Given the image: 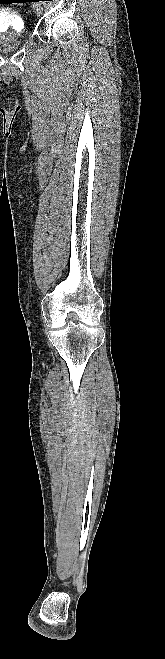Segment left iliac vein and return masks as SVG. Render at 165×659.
<instances>
[{
    "label": "left iliac vein",
    "instance_id": "obj_1",
    "mask_svg": "<svg viewBox=\"0 0 165 659\" xmlns=\"http://www.w3.org/2000/svg\"><path fill=\"white\" fill-rule=\"evenodd\" d=\"M33 11H34L35 14L40 15L42 13L41 4H39V3L33 4Z\"/></svg>",
    "mask_w": 165,
    "mask_h": 659
}]
</instances>
